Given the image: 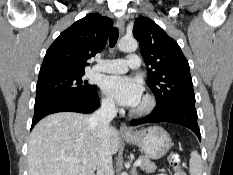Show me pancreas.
Instances as JSON below:
<instances>
[{"label": "pancreas", "mask_w": 233, "mask_h": 175, "mask_svg": "<svg viewBox=\"0 0 233 175\" xmlns=\"http://www.w3.org/2000/svg\"><path fill=\"white\" fill-rule=\"evenodd\" d=\"M139 159L142 161L140 167L146 173H151L154 170H156V165L153 162H151L150 159L146 156H140Z\"/></svg>", "instance_id": "1"}]
</instances>
